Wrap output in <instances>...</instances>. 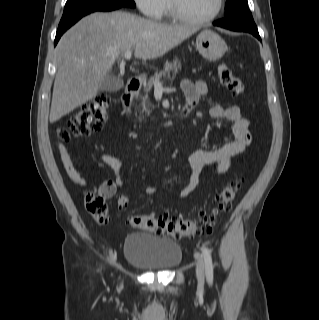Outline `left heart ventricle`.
I'll use <instances>...</instances> for the list:
<instances>
[{
  "label": "left heart ventricle",
  "mask_w": 319,
  "mask_h": 320,
  "mask_svg": "<svg viewBox=\"0 0 319 320\" xmlns=\"http://www.w3.org/2000/svg\"><path fill=\"white\" fill-rule=\"evenodd\" d=\"M180 10L192 18H204L211 15L217 6V0H176Z\"/></svg>",
  "instance_id": "obj_1"
}]
</instances>
